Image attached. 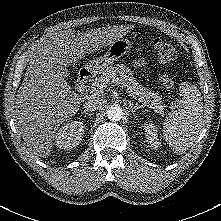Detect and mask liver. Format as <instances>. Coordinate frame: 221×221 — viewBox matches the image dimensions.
Wrapping results in <instances>:
<instances>
[{
  "instance_id": "liver-1",
  "label": "liver",
  "mask_w": 221,
  "mask_h": 221,
  "mask_svg": "<svg viewBox=\"0 0 221 221\" xmlns=\"http://www.w3.org/2000/svg\"><path fill=\"white\" fill-rule=\"evenodd\" d=\"M131 29V25L102 27L77 36L68 29L48 35L34 48L15 101L20 135L34 155H50L56 132L80 108L81 98L64 79L62 69Z\"/></svg>"
}]
</instances>
